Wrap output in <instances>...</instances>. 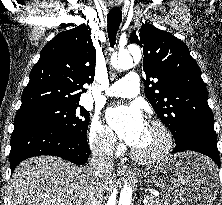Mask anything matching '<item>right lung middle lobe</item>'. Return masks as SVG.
Masks as SVG:
<instances>
[{
	"label": "right lung middle lobe",
	"mask_w": 222,
	"mask_h": 205,
	"mask_svg": "<svg viewBox=\"0 0 222 205\" xmlns=\"http://www.w3.org/2000/svg\"><path fill=\"white\" fill-rule=\"evenodd\" d=\"M89 112L75 103H50L37 108L18 112L14 123L41 122L52 125L62 131L86 137Z\"/></svg>",
	"instance_id": "right-lung-middle-lobe-1"
}]
</instances>
